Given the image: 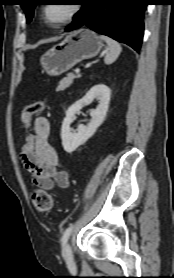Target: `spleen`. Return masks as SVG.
Instances as JSON below:
<instances>
[{
	"label": "spleen",
	"mask_w": 174,
	"mask_h": 278,
	"mask_svg": "<svg viewBox=\"0 0 174 278\" xmlns=\"http://www.w3.org/2000/svg\"><path fill=\"white\" fill-rule=\"evenodd\" d=\"M100 39L105 41L109 48V51L107 52L104 61L106 64H111L118 58L122 51V48L117 41L111 39L108 36L101 35Z\"/></svg>",
	"instance_id": "3e777b00"
}]
</instances>
